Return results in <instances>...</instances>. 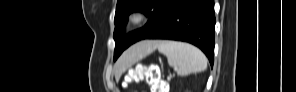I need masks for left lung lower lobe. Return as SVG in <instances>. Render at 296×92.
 Returning <instances> with one entry per match:
<instances>
[{
    "label": "left lung lower lobe",
    "mask_w": 296,
    "mask_h": 92,
    "mask_svg": "<svg viewBox=\"0 0 296 92\" xmlns=\"http://www.w3.org/2000/svg\"><path fill=\"white\" fill-rule=\"evenodd\" d=\"M214 0H170L162 24L145 39H170L199 47L214 62Z\"/></svg>",
    "instance_id": "1"
}]
</instances>
